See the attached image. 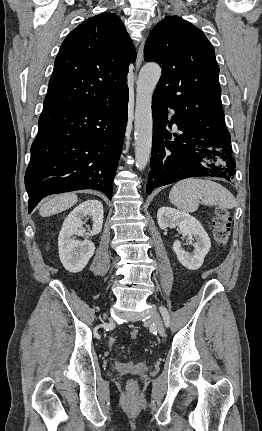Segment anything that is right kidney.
Segmentation results:
<instances>
[{
  "instance_id": "right-kidney-1",
  "label": "right kidney",
  "mask_w": 262,
  "mask_h": 431,
  "mask_svg": "<svg viewBox=\"0 0 262 431\" xmlns=\"http://www.w3.org/2000/svg\"><path fill=\"white\" fill-rule=\"evenodd\" d=\"M91 217L92 230L86 232L83 219ZM103 224V205L99 200H87L79 204L65 218L58 237L59 257L66 270L72 273L80 272L94 254L95 246L88 240L89 236L98 234ZM77 236H86L84 241Z\"/></svg>"
}]
</instances>
